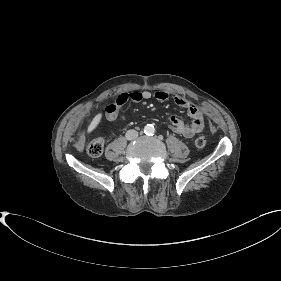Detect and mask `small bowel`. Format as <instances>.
Listing matches in <instances>:
<instances>
[{
	"label": "small bowel",
	"instance_id": "obj_1",
	"mask_svg": "<svg viewBox=\"0 0 281 281\" xmlns=\"http://www.w3.org/2000/svg\"><path fill=\"white\" fill-rule=\"evenodd\" d=\"M152 96L158 101H166L170 98V93L167 90H158L154 94L149 90L123 92L119 94L113 103L106 107V118L110 121L115 120L120 108L128 101L141 102L150 99ZM173 100L177 106L187 109L192 120L186 123L171 114L168 116L170 129L186 138H192L194 135L200 133L204 129L201 108L181 95H175Z\"/></svg>",
	"mask_w": 281,
	"mask_h": 281
}]
</instances>
